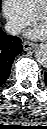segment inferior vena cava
Wrapping results in <instances>:
<instances>
[{"label":"inferior vena cava","mask_w":47,"mask_h":129,"mask_svg":"<svg viewBox=\"0 0 47 129\" xmlns=\"http://www.w3.org/2000/svg\"><path fill=\"white\" fill-rule=\"evenodd\" d=\"M4 28L10 35H17L23 31L24 26L15 21H7Z\"/></svg>","instance_id":"602c4592"}]
</instances>
